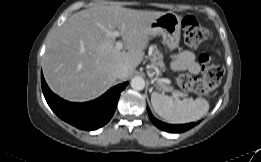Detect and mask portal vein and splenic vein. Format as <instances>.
Here are the masks:
<instances>
[{"label":"portal vein and splenic vein","mask_w":261,"mask_h":162,"mask_svg":"<svg viewBox=\"0 0 261 162\" xmlns=\"http://www.w3.org/2000/svg\"><path fill=\"white\" fill-rule=\"evenodd\" d=\"M109 35L118 37L120 35V33L118 31H113V32H109ZM122 48H123V43L121 41H117L115 44V49L119 51ZM149 76L151 77L150 74H149ZM156 80L158 81V83H170V80H168V79H156ZM174 95H176V94H174Z\"/></svg>","instance_id":"obj_1"}]
</instances>
